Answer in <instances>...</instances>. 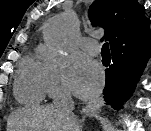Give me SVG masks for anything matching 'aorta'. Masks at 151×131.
Listing matches in <instances>:
<instances>
[{
    "instance_id": "762f6f07",
    "label": "aorta",
    "mask_w": 151,
    "mask_h": 131,
    "mask_svg": "<svg viewBox=\"0 0 151 131\" xmlns=\"http://www.w3.org/2000/svg\"><path fill=\"white\" fill-rule=\"evenodd\" d=\"M73 26L74 18L72 15L53 20L46 27L45 38L52 46L60 48L65 43L67 35Z\"/></svg>"
}]
</instances>
